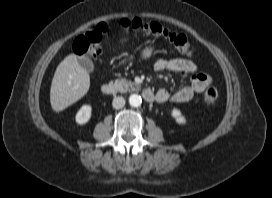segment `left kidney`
<instances>
[{
    "instance_id": "5707ae66",
    "label": "left kidney",
    "mask_w": 272,
    "mask_h": 198,
    "mask_svg": "<svg viewBox=\"0 0 272 198\" xmlns=\"http://www.w3.org/2000/svg\"><path fill=\"white\" fill-rule=\"evenodd\" d=\"M171 115L172 117L176 120V122L178 124H185L186 123V119L185 117L182 115L181 111L179 109L174 108L171 111Z\"/></svg>"
}]
</instances>
